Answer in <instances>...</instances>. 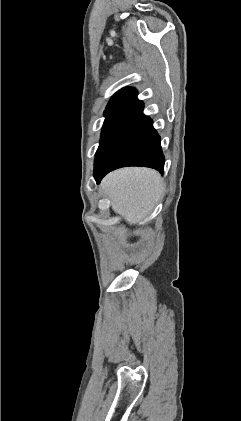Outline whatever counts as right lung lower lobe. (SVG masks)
I'll return each mask as SVG.
<instances>
[{
    "instance_id": "98d812e1",
    "label": "right lung lower lobe",
    "mask_w": 241,
    "mask_h": 421,
    "mask_svg": "<svg viewBox=\"0 0 241 421\" xmlns=\"http://www.w3.org/2000/svg\"><path fill=\"white\" fill-rule=\"evenodd\" d=\"M143 108L141 101L134 103L117 136L95 164L97 183L108 172L125 166L151 167L163 173L165 158L160 136L152 120L143 114Z\"/></svg>"
}]
</instances>
